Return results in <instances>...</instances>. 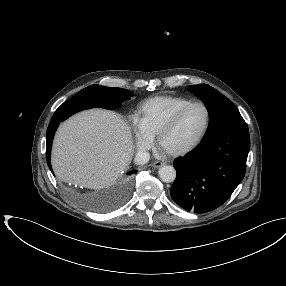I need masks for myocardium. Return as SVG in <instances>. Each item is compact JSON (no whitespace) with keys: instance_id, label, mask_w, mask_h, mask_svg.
<instances>
[{"instance_id":"f54148a6","label":"myocardium","mask_w":286,"mask_h":286,"mask_svg":"<svg viewBox=\"0 0 286 286\" xmlns=\"http://www.w3.org/2000/svg\"><path fill=\"white\" fill-rule=\"evenodd\" d=\"M193 106H201L206 114V121H205V125L204 128L201 132V134L199 135V137L189 146L180 149V150H174V151H169L164 149L163 147V139L165 137V135L172 129L175 127V125L179 122V120L181 119V117ZM210 124H211V113L209 108L207 107V105L201 101H194V102H190L189 104L183 106L182 108H180L159 130L158 134H157V144L158 147L165 152L166 154L170 155V156H174V157H179V156H183L186 155L192 151H194L197 147H199V145L203 142V140L205 139L209 128H210Z\"/></svg>"}]
</instances>
